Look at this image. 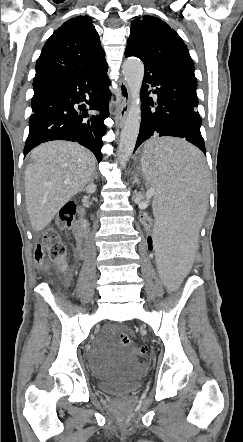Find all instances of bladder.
Listing matches in <instances>:
<instances>
[{
	"mask_svg": "<svg viewBox=\"0 0 243 442\" xmlns=\"http://www.w3.org/2000/svg\"><path fill=\"white\" fill-rule=\"evenodd\" d=\"M93 372L98 378L99 391L121 396L140 387L145 367L132 354L122 353L113 367H107L105 360H99Z\"/></svg>",
	"mask_w": 243,
	"mask_h": 442,
	"instance_id": "obj_1",
	"label": "bladder"
}]
</instances>
